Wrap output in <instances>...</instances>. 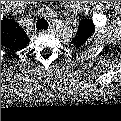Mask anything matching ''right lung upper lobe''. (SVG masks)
I'll return each instance as SVG.
<instances>
[{
  "label": "right lung upper lobe",
  "mask_w": 121,
  "mask_h": 121,
  "mask_svg": "<svg viewBox=\"0 0 121 121\" xmlns=\"http://www.w3.org/2000/svg\"><path fill=\"white\" fill-rule=\"evenodd\" d=\"M29 38L17 22L12 19L1 21V45L14 53L27 46Z\"/></svg>",
  "instance_id": "cb5924a9"
}]
</instances>
